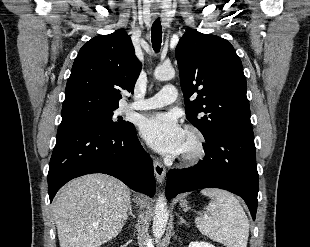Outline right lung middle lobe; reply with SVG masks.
<instances>
[{
	"label": "right lung middle lobe",
	"mask_w": 310,
	"mask_h": 247,
	"mask_svg": "<svg viewBox=\"0 0 310 247\" xmlns=\"http://www.w3.org/2000/svg\"><path fill=\"white\" fill-rule=\"evenodd\" d=\"M116 109L117 108L106 109L93 106L72 107L67 110H62L61 124L84 122L110 125L116 130L127 128L131 123L121 120L115 122L112 120L113 111Z\"/></svg>",
	"instance_id": "obj_1"
}]
</instances>
